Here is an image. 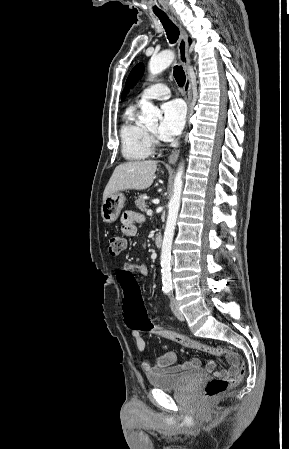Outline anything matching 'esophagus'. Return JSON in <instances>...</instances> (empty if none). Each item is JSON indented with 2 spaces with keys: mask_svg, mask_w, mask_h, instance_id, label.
<instances>
[{
  "mask_svg": "<svg viewBox=\"0 0 289 449\" xmlns=\"http://www.w3.org/2000/svg\"><path fill=\"white\" fill-rule=\"evenodd\" d=\"M178 56L181 64L183 65L185 72H186V81L184 85V98L186 100L187 106H188V114L187 118L190 113L191 109V100H192V94H191V79L188 71V66L190 64V50H189V44H188V37L184 29L180 26V38L178 42ZM180 150H175L169 157V163L173 164L177 161L179 157Z\"/></svg>",
  "mask_w": 289,
  "mask_h": 449,
  "instance_id": "esophagus-1",
  "label": "esophagus"
}]
</instances>
